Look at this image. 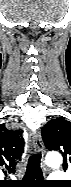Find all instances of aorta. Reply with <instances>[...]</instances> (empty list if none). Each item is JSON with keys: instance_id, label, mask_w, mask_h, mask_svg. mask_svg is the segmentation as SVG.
Segmentation results:
<instances>
[{"instance_id": "obj_1", "label": "aorta", "mask_w": 71, "mask_h": 187, "mask_svg": "<svg viewBox=\"0 0 71 187\" xmlns=\"http://www.w3.org/2000/svg\"><path fill=\"white\" fill-rule=\"evenodd\" d=\"M46 163L50 167H59L62 164V157L58 152L48 153L46 156Z\"/></svg>"}]
</instances>
